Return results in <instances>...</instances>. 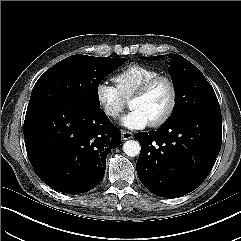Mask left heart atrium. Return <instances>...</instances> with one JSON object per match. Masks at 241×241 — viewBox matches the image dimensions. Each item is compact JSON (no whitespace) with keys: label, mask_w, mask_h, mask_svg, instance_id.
I'll return each instance as SVG.
<instances>
[{"label":"left heart atrium","mask_w":241,"mask_h":241,"mask_svg":"<svg viewBox=\"0 0 241 241\" xmlns=\"http://www.w3.org/2000/svg\"><path fill=\"white\" fill-rule=\"evenodd\" d=\"M121 123L130 129H142L149 124L147 118L135 109H131L130 112L122 117Z\"/></svg>","instance_id":"1"}]
</instances>
